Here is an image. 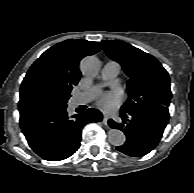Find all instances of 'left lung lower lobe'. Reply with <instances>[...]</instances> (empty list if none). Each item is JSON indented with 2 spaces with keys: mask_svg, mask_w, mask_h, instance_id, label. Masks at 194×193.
Instances as JSON below:
<instances>
[{
  "mask_svg": "<svg viewBox=\"0 0 194 193\" xmlns=\"http://www.w3.org/2000/svg\"><path fill=\"white\" fill-rule=\"evenodd\" d=\"M120 115L122 124L112 119L108 124L111 128L125 133L126 141L118 146L117 150L132 157L144 156L153 150L159 143L169 120V111L166 107L131 111L121 109Z\"/></svg>",
  "mask_w": 194,
  "mask_h": 193,
  "instance_id": "obj_1",
  "label": "left lung lower lobe"
}]
</instances>
